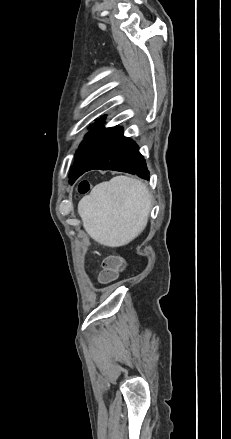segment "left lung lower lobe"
<instances>
[{
    "label": "left lung lower lobe",
    "instance_id": "1",
    "mask_svg": "<svg viewBox=\"0 0 231 439\" xmlns=\"http://www.w3.org/2000/svg\"><path fill=\"white\" fill-rule=\"evenodd\" d=\"M93 169L128 172L149 180L146 162L137 144L124 137L122 127H118L106 140L93 162L83 173Z\"/></svg>",
    "mask_w": 231,
    "mask_h": 439
}]
</instances>
